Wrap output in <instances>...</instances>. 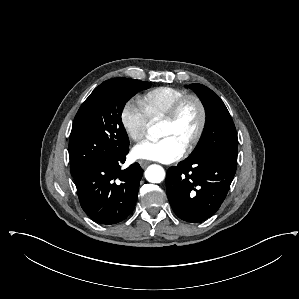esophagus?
<instances>
[{
    "label": "esophagus",
    "mask_w": 299,
    "mask_h": 299,
    "mask_svg": "<svg viewBox=\"0 0 299 299\" xmlns=\"http://www.w3.org/2000/svg\"><path fill=\"white\" fill-rule=\"evenodd\" d=\"M150 162L149 161H146V160H140L139 161V164L142 168H146L147 165L149 164Z\"/></svg>",
    "instance_id": "1"
}]
</instances>
